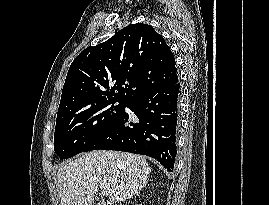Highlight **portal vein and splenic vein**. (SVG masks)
<instances>
[{"label": "portal vein and splenic vein", "mask_w": 269, "mask_h": 205, "mask_svg": "<svg viewBox=\"0 0 269 205\" xmlns=\"http://www.w3.org/2000/svg\"><path fill=\"white\" fill-rule=\"evenodd\" d=\"M110 194H111L110 189H104V190H102V195H103V196H108V195H110Z\"/></svg>", "instance_id": "portal-vein-and-splenic-vein-1"}]
</instances>
